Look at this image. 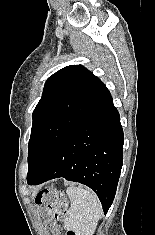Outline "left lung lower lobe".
<instances>
[{"instance_id": "0a47b994", "label": "left lung lower lobe", "mask_w": 155, "mask_h": 235, "mask_svg": "<svg viewBox=\"0 0 155 235\" xmlns=\"http://www.w3.org/2000/svg\"><path fill=\"white\" fill-rule=\"evenodd\" d=\"M124 135L120 116L110 92L104 94L53 150L29 185L64 177L90 187L99 197L104 213L110 208L123 164Z\"/></svg>"}]
</instances>
